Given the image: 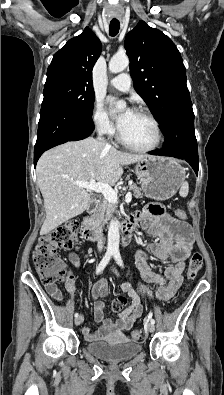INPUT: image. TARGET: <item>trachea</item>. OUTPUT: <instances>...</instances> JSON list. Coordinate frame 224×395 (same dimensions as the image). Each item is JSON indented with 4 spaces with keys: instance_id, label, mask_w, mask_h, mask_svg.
Masks as SVG:
<instances>
[{
    "instance_id": "3493384b",
    "label": "trachea",
    "mask_w": 224,
    "mask_h": 395,
    "mask_svg": "<svg viewBox=\"0 0 224 395\" xmlns=\"http://www.w3.org/2000/svg\"><path fill=\"white\" fill-rule=\"evenodd\" d=\"M120 29L119 21H111L109 26V34L110 36H116Z\"/></svg>"
}]
</instances>
